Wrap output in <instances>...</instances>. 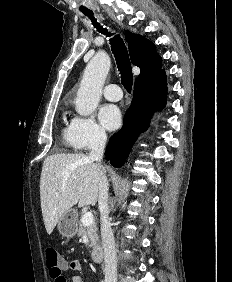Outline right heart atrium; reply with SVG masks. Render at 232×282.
Returning a JSON list of instances; mask_svg holds the SVG:
<instances>
[{
	"instance_id": "d8ad5b80",
	"label": "right heart atrium",
	"mask_w": 232,
	"mask_h": 282,
	"mask_svg": "<svg viewBox=\"0 0 232 282\" xmlns=\"http://www.w3.org/2000/svg\"><path fill=\"white\" fill-rule=\"evenodd\" d=\"M74 148L88 150L104 143L105 131L91 117H75L70 123Z\"/></svg>"
}]
</instances>
